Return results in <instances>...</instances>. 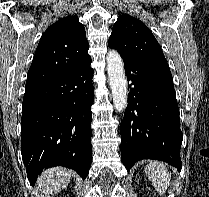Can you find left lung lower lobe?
Masks as SVG:
<instances>
[{
	"label": "left lung lower lobe",
	"instance_id": "0a47b994",
	"mask_svg": "<svg viewBox=\"0 0 209 197\" xmlns=\"http://www.w3.org/2000/svg\"><path fill=\"white\" fill-rule=\"evenodd\" d=\"M132 87L121 122V160L127 171L139 160L164 161L181 170L183 134L171 72L123 59Z\"/></svg>",
	"mask_w": 209,
	"mask_h": 197
}]
</instances>
